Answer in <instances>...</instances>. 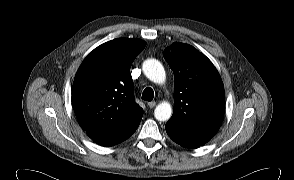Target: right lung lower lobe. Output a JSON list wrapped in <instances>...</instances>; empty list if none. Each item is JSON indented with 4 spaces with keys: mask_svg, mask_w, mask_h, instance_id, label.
Wrapping results in <instances>:
<instances>
[{
    "mask_svg": "<svg viewBox=\"0 0 294 180\" xmlns=\"http://www.w3.org/2000/svg\"><path fill=\"white\" fill-rule=\"evenodd\" d=\"M142 115L137 117L129 126L124 128L119 133H117L113 136H110V137L96 139L94 141L97 144L102 145V146H113V145H117V144L123 142L124 140L129 138L135 132V130L137 129V127L140 124Z\"/></svg>",
    "mask_w": 294,
    "mask_h": 180,
    "instance_id": "obj_1",
    "label": "right lung lower lobe"
}]
</instances>
